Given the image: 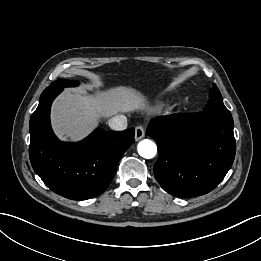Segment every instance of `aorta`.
Segmentation results:
<instances>
[{"label":"aorta","mask_w":261,"mask_h":261,"mask_svg":"<svg viewBox=\"0 0 261 261\" xmlns=\"http://www.w3.org/2000/svg\"><path fill=\"white\" fill-rule=\"evenodd\" d=\"M137 149H138L139 155L146 159L153 158L157 153L156 144L149 139H144V140L140 141L138 143Z\"/></svg>","instance_id":"aorta-1"}]
</instances>
